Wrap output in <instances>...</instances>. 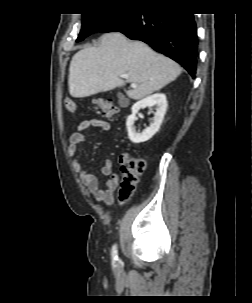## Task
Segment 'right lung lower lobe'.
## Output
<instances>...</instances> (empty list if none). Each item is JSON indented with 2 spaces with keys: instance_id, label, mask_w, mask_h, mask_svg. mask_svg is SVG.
I'll return each mask as SVG.
<instances>
[{
  "instance_id": "obj_1",
  "label": "right lung lower lobe",
  "mask_w": 252,
  "mask_h": 303,
  "mask_svg": "<svg viewBox=\"0 0 252 303\" xmlns=\"http://www.w3.org/2000/svg\"><path fill=\"white\" fill-rule=\"evenodd\" d=\"M121 32L180 63L195 78L197 31L191 13L179 9H131L99 32Z\"/></svg>"
}]
</instances>
